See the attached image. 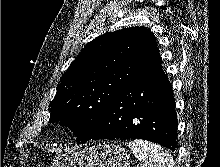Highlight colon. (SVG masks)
I'll use <instances>...</instances> for the list:
<instances>
[{"label":"colon","mask_w":220,"mask_h":167,"mask_svg":"<svg viewBox=\"0 0 220 167\" xmlns=\"http://www.w3.org/2000/svg\"><path fill=\"white\" fill-rule=\"evenodd\" d=\"M37 167H44V166H42V165H39V166H37Z\"/></svg>","instance_id":"colon-1"}]
</instances>
